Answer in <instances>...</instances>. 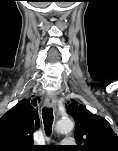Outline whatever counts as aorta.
<instances>
[{
    "label": "aorta",
    "mask_w": 118,
    "mask_h": 151,
    "mask_svg": "<svg viewBox=\"0 0 118 151\" xmlns=\"http://www.w3.org/2000/svg\"><path fill=\"white\" fill-rule=\"evenodd\" d=\"M73 128L74 123L70 118H62L56 123V131L59 133H69Z\"/></svg>",
    "instance_id": "762f6f07"
}]
</instances>
